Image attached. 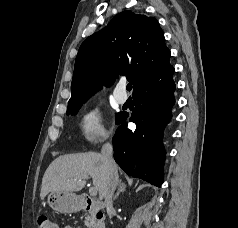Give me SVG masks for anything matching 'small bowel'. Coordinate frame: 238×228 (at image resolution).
Returning <instances> with one entry per match:
<instances>
[{
	"instance_id": "obj_1",
	"label": "small bowel",
	"mask_w": 238,
	"mask_h": 228,
	"mask_svg": "<svg viewBox=\"0 0 238 228\" xmlns=\"http://www.w3.org/2000/svg\"><path fill=\"white\" fill-rule=\"evenodd\" d=\"M58 228V227H57ZM64 228H73V227H71V226H65Z\"/></svg>"
}]
</instances>
